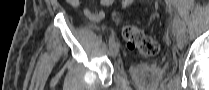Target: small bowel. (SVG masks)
Segmentation results:
<instances>
[{"instance_id":"small-bowel-1","label":"small bowel","mask_w":209,"mask_h":90,"mask_svg":"<svg viewBox=\"0 0 209 90\" xmlns=\"http://www.w3.org/2000/svg\"><path fill=\"white\" fill-rule=\"evenodd\" d=\"M101 3L103 5H108L110 3V1H108V0H102ZM85 14L93 22H98V21H100L104 17V14L102 12H100L98 14H95V13H92L88 9L85 10Z\"/></svg>"}]
</instances>
